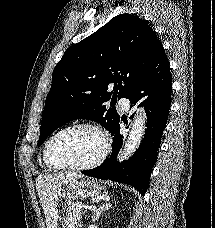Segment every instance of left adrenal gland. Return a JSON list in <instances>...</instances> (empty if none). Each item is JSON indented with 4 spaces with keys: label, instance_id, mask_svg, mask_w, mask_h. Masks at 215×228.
I'll return each instance as SVG.
<instances>
[{
    "label": "left adrenal gland",
    "instance_id": "left-adrenal-gland-1",
    "mask_svg": "<svg viewBox=\"0 0 215 228\" xmlns=\"http://www.w3.org/2000/svg\"><path fill=\"white\" fill-rule=\"evenodd\" d=\"M110 206H112V204H110V202H105V204H101V206H99L98 210H95V212L92 216V222H96V220H99L102 212H105V210H109Z\"/></svg>",
    "mask_w": 215,
    "mask_h": 228
}]
</instances>
